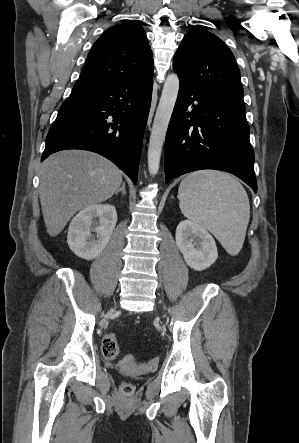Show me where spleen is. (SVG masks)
Returning a JSON list of instances; mask_svg holds the SVG:
<instances>
[{
	"mask_svg": "<svg viewBox=\"0 0 299 443\" xmlns=\"http://www.w3.org/2000/svg\"><path fill=\"white\" fill-rule=\"evenodd\" d=\"M178 198L183 215L209 230L229 254L241 250L250 204L238 180L218 171L195 172L180 183Z\"/></svg>",
	"mask_w": 299,
	"mask_h": 443,
	"instance_id": "3e777b00",
	"label": "spleen"
}]
</instances>
